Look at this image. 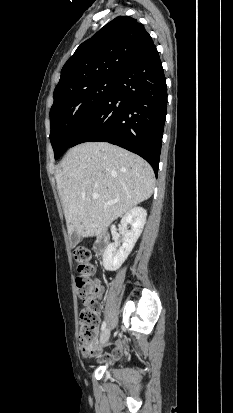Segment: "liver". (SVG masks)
Masks as SVG:
<instances>
[{
    "instance_id": "6515ba94",
    "label": "liver",
    "mask_w": 233,
    "mask_h": 413,
    "mask_svg": "<svg viewBox=\"0 0 233 413\" xmlns=\"http://www.w3.org/2000/svg\"><path fill=\"white\" fill-rule=\"evenodd\" d=\"M55 178L68 234L76 231L82 238L101 234L112 221L150 198L155 186L148 162L108 142L71 148ZM112 201L117 202L108 204Z\"/></svg>"
}]
</instances>
